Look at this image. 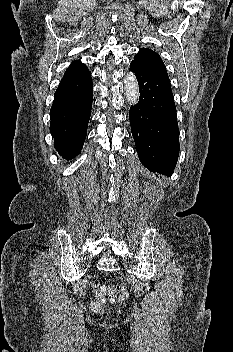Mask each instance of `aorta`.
<instances>
[{
  "instance_id": "aorta-1",
  "label": "aorta",
  "mask_w": 233,
  "mask_h": 352,
  "mask_svg": "<svg viewBox=\"0 0 233 352\" xmlns=\"http://www.w3.org/2000/svg\"><path fill=\"white\" fill-rule=\"evenodd\" d=\"M124 85H125V95L128 102L132 105L137 104L140 96L139 87H138L137 79L132 73L127 74L124 80Z\"/></svg>"
}]
</instances>
